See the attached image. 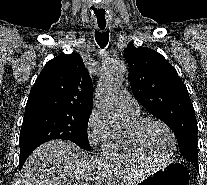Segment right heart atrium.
<instances>
[{
  "label": "right heart atrium",
  "instance_id": "obj_1",
  "mask_svg": "<svg viewBox=\"0 0 207 185\" xmlns=\"http://www.w3.org/2000/svg\"><path fill=\"white\" fill-rule=\"evenodd\" d=\"M111 132L112 130L106 115L99 109L94 108L89 115L86 125V135L89 144L92 147L103 144Z\"/></svg>",
  "mask_w": 207,
  "mask_h": 185
}]
</instances>
